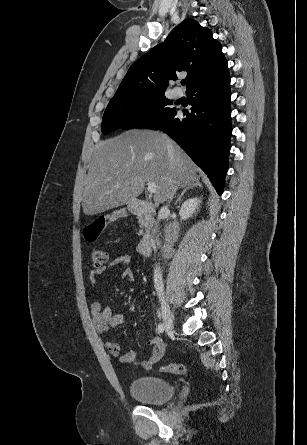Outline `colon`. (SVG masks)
Wrapping results in <instances>:
<instances>
[{
  "label": "colon",
  "mask_w": 307,
  "mask_h": 445,
  "mask_svg": "<svg viewBox=\"0 0 307 445\" xmlns=\"http://www.w3.org/2000/svg\"><path fill=\"white\" fill-rule=\"evenodd\" d=\"M122 217L121 213L101 216L91 222L84 231L87 241L93 242L98 239L107 225ZM91 260L95 268L103 267L108 260L107 252L102 248H93L90 252ZM161 371L165 373H173L182 375L186 372V367L181 363H170L163 365Z\"/></svg>",
  "instance_id": "obj_1"
}]
</instances>
